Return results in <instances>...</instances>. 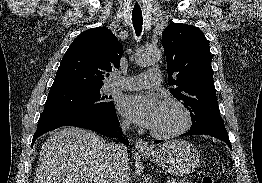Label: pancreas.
Segmentation results:
<instances>
[{
	"mask_svg": "<svg viewBox=\"0 0 262 183\" xmlns=\"http://www.w3.org/2000/svg\"><path fill=\"white\" fill-rule=\"evenodd\" d=\"M177 183H191V182H188V181H185V180H180Z\"/></svg>",
	"mask_w": 262,
	"mask_h": 183,
	"instance_id": "cf45deb5",
	"label": "pancreas"
}]
</instances>
